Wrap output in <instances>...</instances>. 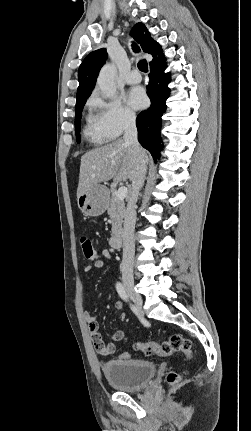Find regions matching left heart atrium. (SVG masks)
Returning <instances> with one entry per match:
<instances>
[{"label": "left heart atrium", "mask_w": 251, "mask_h": 431, "mask_svg": "<svg viewBox=\"0 0 251 431\" xmlns=\"http://www.w3.org/2000/svg\"><path fill=\"white\" fill-rule=\"evenodd\" d=\"M127 103L134 109H141L147 104L145 92L140 87L132 88L127 94Z\"/></svg>", "instance_id": "39dd6f15"}]
</instances>
